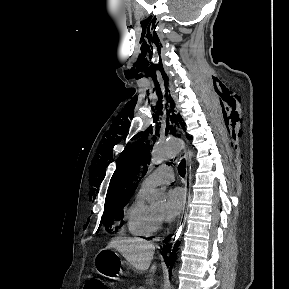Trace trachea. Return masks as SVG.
<instances>
[{"mask_svg": "<svg viewBox=\"0 0 289 289\" xmlns=\"http://www.w3.org/2000/svg\"><path fill=\"white\" fill-rule=\"evenodd\" d=\"M186 163L185 160H181L179 166H178V172L180 174V176L184 177L185 176V172H186Z\"/></svg>", "mask_w": 289, "mask_h": 289, "instance_id": "1", "label": "trachea"}]
</instances>
